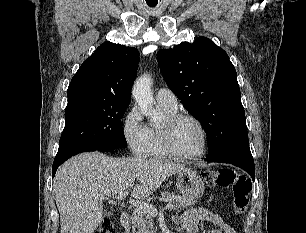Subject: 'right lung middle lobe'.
<instances>
[{
  "label": "right lung middle lobe",
  "instance_id": "1",
  "mask_svg": "<svg viewBox=\"0 0 306 233\" xmlns=\"http://www.w3.org/2000/svg\"><path fill=\"white\" fill-rule=\"evenodd\" d=\"M129 104L79 100L68 103L55 158L81 148H125L121 118Z\"/></svg>",
  "mask_w": 306,
  "mask_h": 233
}]
</instances>
